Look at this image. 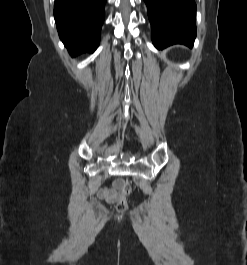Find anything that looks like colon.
I'll list each match as a JSON object with an SVG mask.
<instances>
[{"label": "colon", "mask_w": 247, "mask_h": 265, "mask_svg": "<svg viewBox=\"0 0 247 265\" xmlns=\"http://www.w3.org/2000/svg\"><path fill=\"white\" fill-rule=\"evenodd\" d=\"M131 191V184L127 181H121V197L116 205L117 211L122 212L127 208V197L130 195Z\"/></svg>", "instance_id": "obj_1"}]
</instances>
